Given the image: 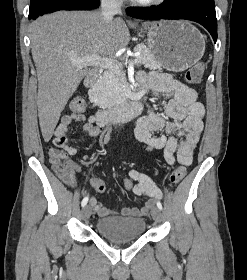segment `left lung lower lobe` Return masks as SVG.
<instances>
[{
	"label": "left lung lower lobe",
	"mask_w": 247,
	"mask_h": 280,
	"mask_svg": "<svg viewBox=\"0 0 247 280\" xmlns=\"http://www.w3.org/2000/svg\"><path fill=\"white\" fill-rule=\"evenodd\" d=\"M126 13L138 19H186L204 26L217 40V19L214 0H182L164 2L151 9H127Z\"/></svg>",
	"instance_id": "1"
}]
</instances>
